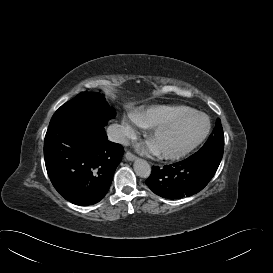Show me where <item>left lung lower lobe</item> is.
Listing matches in <instances>:
<instances>
[{
	"label": "left lung lower lobe",
	"instance_id": "1",
	"mask_svg": "<svg viewBox=\"0 0 273 273\" xmlns=\"http://www.w3.org/2000/svg\"><path fill=\"white\" fill-rule=\"evenodd\" d=\"M218 166L210 160L192 157L163 168L153 166L146 185L163 198L189 197L209 183Z\"/></svg>",
	"mask_w": 273,
	"mask_h": 273
}]
</instances>
